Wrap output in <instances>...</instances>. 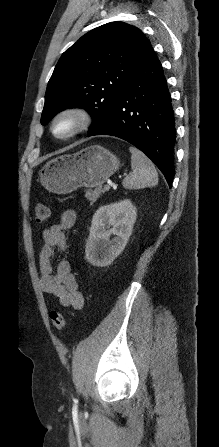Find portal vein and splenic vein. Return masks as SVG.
Here are the masks:
<instances>
[{
  "label": "portal vein and splenic vein",
  "instance_id": "18ae733b",
  "mask_svg": "<svg viewBox=\"0 0 219 447\" xmlns=\"http://www.w3.org/2000/svg\"><path fill=\"white\" fill-rule=\"evenodd\" d=\"M103 188H104L105 191H108L110 189V185L109 184H105Z\"/></svg>",
  "mask_w": 219,
  "mask_h": 447
}]
</instances>
